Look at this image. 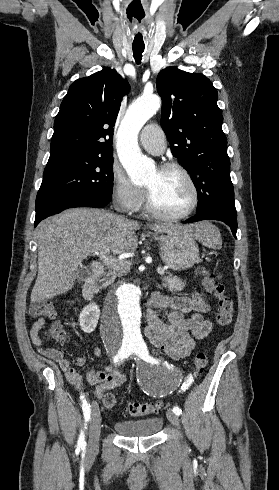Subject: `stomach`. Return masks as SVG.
Returning a JSON list of instances; mask_svg holds the SVG:
<instances>
[{"label":"stomach","instance_id":"stomach-1","mask_svg":"<svg viewBox=\"0 0 279 490\" xmlns=\"http://www.w3.org/2000/svg\"><path fill=\"white\" fill-rule=\"evenodd\" d=\"M153 236L159 240L162 260L173 272H184L201 262L193 236L183 232H155Z\"/></svg>","mask_w":279,"mask_h":490}]
</instances>
